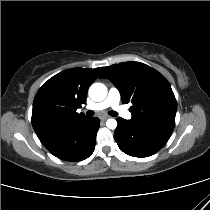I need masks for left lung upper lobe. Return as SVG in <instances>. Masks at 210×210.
I'll list each match as a JSON object with an SVG mask.
<instances>
[{
  "mask_svg": "<svg viewBox=\"0 0 210 210\" xmlns=\"http://www.w3.org/2000/svg\"><path fill=\"white\" fill-rule=\"evenodd\" d=\"M100 78L114 83L122 103H132L131 124L173 131L177 102L169 82L158 71L131 61L103 67Z\"/></svg>",
  "mask_w": 210,
  "mask_h": 210,
  "instance_id": "1",
  "label": "left lung upper lobe"
}]
</instances>
